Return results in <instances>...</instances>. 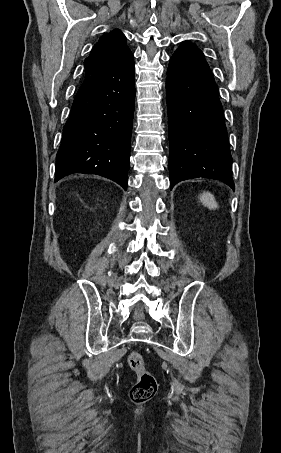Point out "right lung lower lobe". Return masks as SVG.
Returning a JSON list of instances; mask_svg holds the SVG:
<instances>
[{"label":"right lung lower lobe","instance_id":"98d812e1","mask_svg":"<svg viewBox=\"0 0 281 453\" xmlns=\"http://www.w3.org/2000/svg\"><path fill=\"white\" fill-rule=\"evenodd\" d=\"M134 72L130 51L112 66L85 77L63 129L55 182L73 173L97 174L127 189Z\"/></svg>","mask_w":281,"mask_h":453}]
</instances>
